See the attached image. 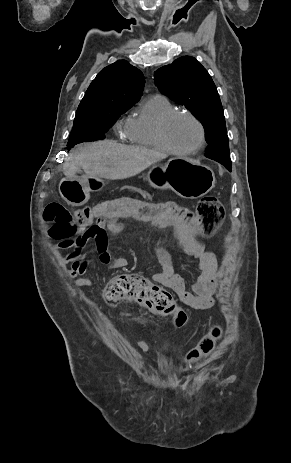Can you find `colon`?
Returning a JSON list of instances; mask_svg holds the SVG:
<instances>
[{"mask_svg": "<svg viewBox=\"0 0 291 463\" xmlns=\"http://www.w3.org/2000/svg\"><path fill=\"white\" fill-rule=\"evenodd\" d=\"M132 214L155 226H176L180 231L211 234L221 224L224 211L214 196L202 198L196 209L178 204L174 200L150 205L129 198L75 211H70L61 203H50L45 207L43 217L51 226L45 229L43 236L45 240H57L61 247L69 249L73 247L79 234L88 230L101 216L131 217ZM104 298L112 305L123 299H133L148 308L170 315L179 328L187 324L186 314L177 306L171 294L144 277L129 274L115 276L106 285ZM218 336L219 330L213 329L188 352L187 361L194 363L209 354Z\"/></svg>", "mask_w": 291, "mask_h": 463, "instance_id": "1", "label": "colon"}]
</instances>
